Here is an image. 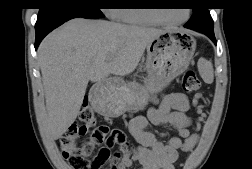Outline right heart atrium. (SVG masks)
Listing matches in <instances>:
<instances>
[{"label":"right heart atrium","instance_id":"right-heart-atrium-1","mask_svg":"<svg viewBox=\"0 0 252 169\" xmlns=\"http://www.w3.org/2000/svg\"><path fill=\"white\" fill-rule=\"evenodd\" d=\"M118 10L120 9H106V13L109 18L118 20Z\"/></svg>","mask_w":252,"mask_h":169}]
</instances>
